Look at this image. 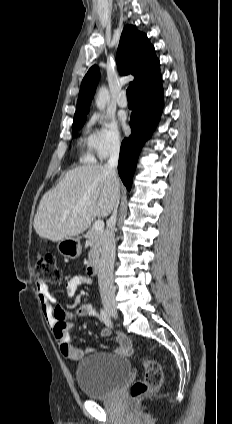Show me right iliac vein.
Returning a JSON list of instances; mask_svg holds the SVG:
<instances>
[{
  "instance_id": "right-iliac-vein-1",
  "label": "right iliac vein",
  "mask_w": 232,
  "mask_h": 424,
  "mask_svg": "<svg viewBox=\"0 0 232 424\" xmlns=\"http://www.w3.org/2000/svg\"><path fill=\"white\" fill-rule=\"evenodd\" d=\"M104 308H105V310H106L107 313H109L113 317H117V309H116V307H115L114 304L105 303L104 304Z\"/></svg>"
}]
</instances>
